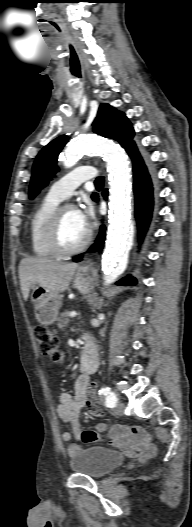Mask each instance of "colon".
I'll list each match as a JSON object with an SVG mask.
<instances>
[{
  "label": "colon",
  "mask_w": 192,
  "mask_h": 527,
  "mask_svg": "<svg viewBox=\"0 0 192 527\" xmlns=\"http://www.w3.org/2000/svg\"><path fill=\"white\" fill-rule=\"evenodd\" d=\"M33 334L37 341L39 351L52 360L58 361L60 359L59 340L54 332L43 325H36L33 328ZM87 408L93 416L102 415V409L94 386L87 393Z\"/></svg>",
  "instance_id": "1"
}]
</instances>
